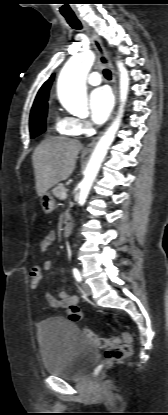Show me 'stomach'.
<instances>
[{
	"mask_svg": "<svg viewBox=\"0 0 168 415\" xmlns=\"http://www.w3.org/2000/svg\"><path fill=\"white\" fill-rule=\"evenodd\" d=\"M41 207L45 213H51L55 208V201L50 193H45L41 196Z\"/></svg>",
	"mask_w": 168,
	"mask_h": 415,
	"instance_id": "0dacf381",
	"label": "stomach"
}]
</instances>
